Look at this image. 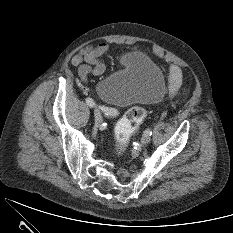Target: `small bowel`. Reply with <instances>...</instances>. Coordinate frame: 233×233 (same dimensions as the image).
<instances>
[{"label": "small bowel", "mask_w": 233, "mask_h": 233, "mask_svg": "<svg viewBox=\"0 0 233 233\" xmlns=\"http://www.w3.org/2000/svg\"><path fill=\"white\" fill-rule=\"evenodd\" d=\"M108 50L106 43L87 46L77 52L71 59L73 66L78 68V75L82 82H86L90 75L100 76L106 70V65L101 56ZM182 83V72L176 65L169 68L168 90L170 95H175Z\"/></svg>", "instance_id": "small-bowel-1"}]
</instances>
